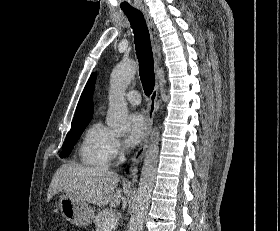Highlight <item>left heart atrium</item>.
Wrapping results in <instances>:
<instances>
[{"mask_svg": "<svg viewBox=\"0 0 280 231\" xmlns=\"http://www.w3.org/2000/svg\"><path fill=\"white\" fill-rule=\"evenodd\" d=\"M146 122L139 113H134L128 117V133L126 143L129 146H136L143 139L146 132Z\"/></svg>", "mask_w": 280, "mask_h": 231, "instance_id": "left-heart-atrium-1", "label": "left heart atrium"}]
</instances>
